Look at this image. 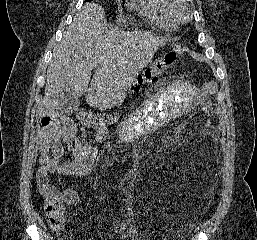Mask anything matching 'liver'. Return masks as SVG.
<instances>
[{
  "label": "liver",
  "mask_w": 257,
  "mask_h": 240,
  "mask_svg": "<svg viewBox=\"0 0 257 240\" xmlns=\"http://www.w3.org/2000/svg\"><path fill=\"white\" fill-rule=\"evenodd\" d=\"M165 40L147 32H123L106 24L101 5L87 3L75 15L53 51L40 116L51 115L68 86L98 109L114 107ZM96 68L91 79L92 70Z\"/></svg>",
  "instance_id": "1"
}]
</instances>
